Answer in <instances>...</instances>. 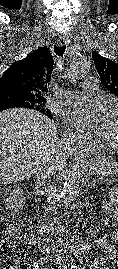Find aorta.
I'll return each mask as SVG.
<instances>
[{
    "mask_svg": "<svg viewBox=\"0 0 118 269\" xmlns=\"http://www.w3.org/2000/svg\"><path fill=\"white\" fill-rule=\"evenodd\" d=\"M91 62L86 56H78L70 66L68 77L71 82H77L86 76L90 71ZM87 176V172L82 168H75L70 171L65 179L62 192L57 196L62 197L65 193H72L80 189Z\"/></svg>",
    "mask_w": 118,
    "mask_h": 269,
    "instance_id": "762f6f07",
    "label": "aorta"
}]
</instances>
